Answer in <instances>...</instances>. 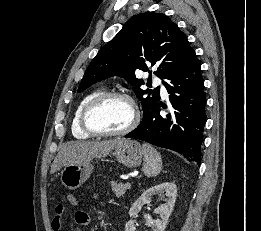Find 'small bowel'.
<instances>
[{
	"label": "small bowel",
	"instance_id": "c3829d8e",
	"mask_svg": "<svg viewBox=\"0 0 261 231\" xmlns=\"http://www.w3.org/2000/svg\"><path fill=\"white\" fill-rule=\"evenodd\" d=\"M64 215V208L57 205L55 208V216L53 218L52 226L54 231H60L62 228V217ZM75 221L79 226H87L90 224V216L84 210H78L75 213Z\"/></svg>",
	"mask_w": 261,
	"mask_h": 231
}]
</instances>
